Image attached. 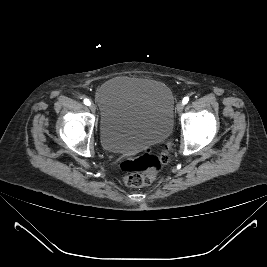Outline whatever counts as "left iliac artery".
Masks as SVG:
<instances>
[{
  "instance_id": "44dca946",
  "label": "left iliac artery",
  "mask_w": 267,
  "mask_h": 267,
  "mask_svg": "<svg viewBox=\"0 0 267 267\" xmlns=\"http://www.w3.org/2000/svg\"><path fill=\"white\" fill-rule=\"evenodd\" d=\"M188 101H189V98L188 97H184L182 102H183V104H186Z\"/></svg>"
}]
</instances>
